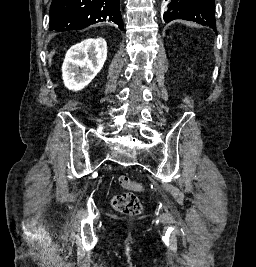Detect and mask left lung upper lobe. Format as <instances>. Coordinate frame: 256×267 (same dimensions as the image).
I'll use <instances>...</instances> for the list:
<instances>
[{
	"instance_id": "1",
	"label": "left lung upper lobe",
	"mask_w": 256,
	"mask_h": 267,
	"mask_svg": "<svg viewBox=\"0 0 256 267\" xmlns=\"http://www.w3.org/2000/svg\"><path fill=\"white\" fill-rule=\"evenodd\" d=\"M215 0H172L164 14L165 22L185 19L208 26L216 32Z\"/></svg>"
}]
</instances>
